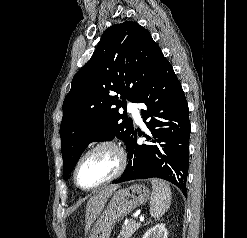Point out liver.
Listing matches in <instances>:
<instances>
[{"label": "liver", "instance_id": "6515ba94", "mask_svg": "<svg viewBox=\"0 0 247 238\" xmlns=\"http://www.w3.org/2000/svg\"><path fill=\"white\" fill-rule=\"evenodd\" d=\"M118 188H119L118 185H111L109 187L102 189L101 191H99L93 197L90 198L86 206V216H85L87 230L91 227L93 222L100 215L109 197Z\"/></svg>", "mask_w": 247, "mask_h": 238}]
</instances>
